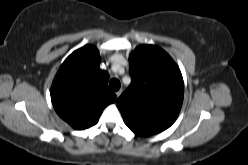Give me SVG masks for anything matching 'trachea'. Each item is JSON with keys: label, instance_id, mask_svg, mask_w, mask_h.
I'll list each match as a JSON object with an SVG mask.
<instances>
[{"label": "trachea", "instance_id": "1", "mask_svg": "<svg viewBox=\"0 0 248 165\" xmlns=\"http://www.w3.org/2000/svg\"><path fill=\"white\" fill-rule=\"evenodd\" d=\"M109 87L112 91H118L120 88V81L117 79H112L109 83Z\"/></svg>", "mask_w": 248, "mask_h": 165}]
</instances>
